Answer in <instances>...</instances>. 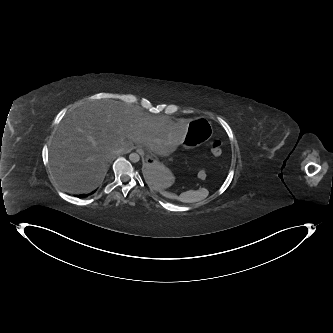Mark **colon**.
I'll list each match as a JSON object with an SVG mask.
<instances>
[{"label":"colon","mask_w":333,"mask_h":333,"mask_svg":"<svg viewBox=\"0 0 333 333\" xmlns=\"http://www.w3.org/2000/svg\"><path fill=\"white\" fill-rule=\"evenodd\" d=\"M222 143L219 139H215L212 143H211V154L214 157H219L222 154V147H221ZM199 176L201 178L205 177V172L204 171H200L199 172Z\"/></svg>","instance_id":"1"}]
</instances>
